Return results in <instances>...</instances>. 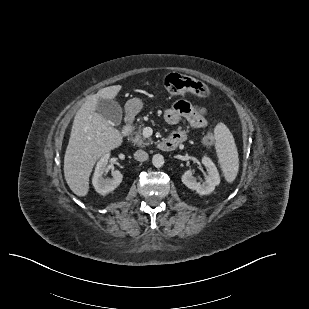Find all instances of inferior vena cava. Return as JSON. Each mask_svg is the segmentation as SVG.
I'll use <instances>...</instances> for the list:
<instances>
[{
	"label": "inferior vena cava",
	"instance_id": "602c4592",
	"mask_svg": "<svg viewBox=\"0 0 309 309\" xmlns=\"http://www.w3.org/2000/svg\"><path fill=\"white\" fill-rule=\"evenodd\" d=\"M134 158H135L137 161L143 162V161H145V160L148 159V153L145 152L144 150H137V151L134 153Z\"/></svg>",
	"mask_w": 309,
	"mask_h": 309
}]
</instances>
